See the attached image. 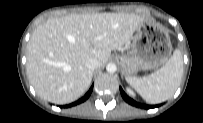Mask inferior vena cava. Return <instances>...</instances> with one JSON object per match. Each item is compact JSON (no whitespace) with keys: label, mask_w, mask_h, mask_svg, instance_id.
<instances>
[{"label":"inferior vena cava","mask_w":203,"mask_h":123,"mask_svg":"<svg viewBox=\"0 0 203 123\" xmlns=\"http://www.w3.org/2000/svg\"><path fill=\"white\" fill-rule=\"evenodd\" d=\"M86 66L93 71L101 66V62L96 58H89L86 60Z\"/></svg>","instance_id":"obj_1"}]
</instances>
